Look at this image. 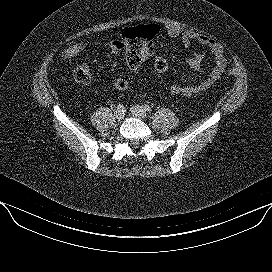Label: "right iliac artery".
<instances>
[{
    "label": "right iliac artery",
    "instance_id": "1",
    "mask_svg": "<svg viewBox=\"0 0 272 272\" xmlns=\"http://www.w3.org/2000/svg\"><path fill=\"white\" fill-rule=\"evenodd\" d=\"M117 109H119V110H122V111H123L124 106H123L122 104H119V105L117 106Z\"/></svg>",
    "mask_w": 272,
    "mask_h": 272
}]
</instances>
